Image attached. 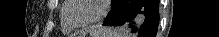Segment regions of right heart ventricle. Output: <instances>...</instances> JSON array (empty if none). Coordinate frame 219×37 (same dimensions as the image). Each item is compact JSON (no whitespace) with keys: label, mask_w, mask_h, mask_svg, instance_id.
Masks as SVG:
<instances>
[{"label":"right heart ventricle","mask_w":219,"mask_h":37,"mask_svg":"<svg viewBox=\"0 0 219 37\" xmlns=\"http://www.w3.org/2000/svg\"><path fill=\"white\" fill-rule=\"evenodd\" d=\"M67 8V3L64 2L61 7V13ZM61 24H62V30L64 33H70L74 28L69 26L67 22L63 19V16H61Z\"/></svg>","instance_id":"right-heart-ventricle-1"}]
</instances>
